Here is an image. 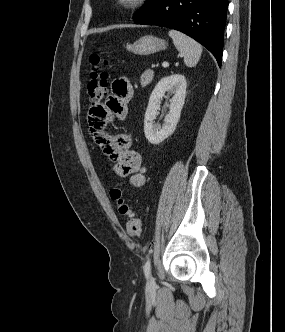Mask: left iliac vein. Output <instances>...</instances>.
<instances>
[{
    "instance_id": "1",
    "label": "left iliac vein",
    "mask_w": 285,
    "mask_h": 332,
    "mask_svg": "<svg viewBox=\"0 0 285 332\" xmlns=\"http://www.w3.org/2000/svg\"><path fill=\"white\" fill-rule=\"evenodd\" d=\"M150 282H151V283L153 282V279H152V278L150 279Z\"/></svg>"
}]
</instances>
